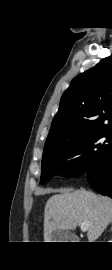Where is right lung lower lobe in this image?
Returning a JSON list of instances; mask_svg holds the SVG:
<instances>
[{"mask_svg":"<svg viewBox=\"0 0 112 270\" xmlns=\"http://www.w3.org/2000/svg\"><path fill=\"white\" fill-rule=\"evenodd\" d=\"M87 178L94 189L112 198V149L97 171L87 172Z\"/></svg>","mask_w":112,"mask_h":270,"instance_id":"98d812e1","label":"right lung lower lobe"}]
</instances>
